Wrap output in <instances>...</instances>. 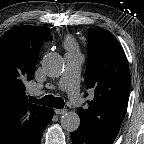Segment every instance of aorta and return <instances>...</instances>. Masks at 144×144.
I'll return each instance as SVG.
<instances>
[{"instance_id":"aorta-1","label":"aorta","mask_w":144,"mask_h":144,"mask_svg":"<svg viewBox=\"0 0 144 144\" xmlns=\"http://www.w3.org/2000/svg\"><path fill=\"white\" fill-rule=\"evenodd\" d=\"M42 68L47 76L57 78L62 75L64 70L63 58L57 53H49L43 57ZM61 125L64 130L73 132L80 125V117L76 112H68L61 118Z\"/></svg>"}]
</instances>
